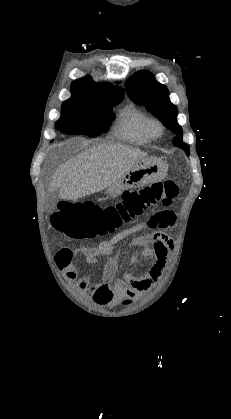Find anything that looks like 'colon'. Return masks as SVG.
<instances>
[{"mask_svg": "<svg viewBox=\"0 0 231 419\" xmlns=\"http://www.w3.org/2000/svg\"><path fill=\"white\" fill-rule=\"evenodd\" d=\"M177 192L176 183L168 180L155 182L139 189L127 190L120 200L105 207L97 203L62 202L52 215V223L56 229L73 237L84 235L102 237L115 232L123 224L142 215L146 209L157 203L170 205ZM63 253L60 251L56 260L66 263V258H62Z\"/></svg>", "mask_w": 231, "mask_h": 419, "instance_id": "obj_1", "label": "colon"}]
</instances>
